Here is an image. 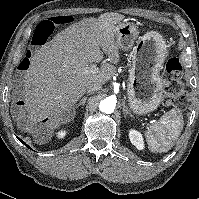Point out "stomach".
I'll return each instance as SVG.
<instances>
[{
  "label": "stomach",
  "mask_w": 199,
  "mask_h": 199,
  "mask_svg": "<svg viewBox=\"0 0 199 199\" xmlns=\"http://www.w3.org/2000/svg\"><path fill=\"white\" fill-rule=\"evenodd\" d=\"M138 34L137 26L128 21L119 22L114 29L118 48L132 49L127 95L132 111L142 115L157 109L163 99L160 71L167 57V45L158 32Z\"/></svg>",
  "instance_id": "0dacf381"
}]
</instances>
